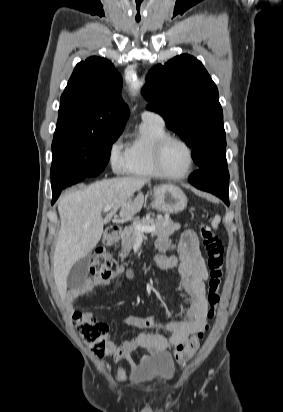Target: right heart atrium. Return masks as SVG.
Segmentation results:
<instances>
[{
  "label": "right heart atrium",
  "instance_id": "1",
  "mask_svg": "<svg viewBox=\"0 0 283 412\" xmlns=\"http://www.w3.org/2000/svg\"><path fill=\"white\" fill-rule=\"evenodd\" d=\"M109 158L115 171H122L126 161V146L122 135L114 139L109 148Z\"/></svg>",
  "mask_w": 283,
  "mask_h": 412
}]
</instances>
